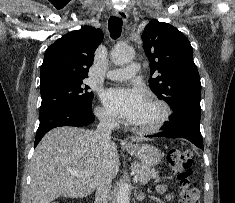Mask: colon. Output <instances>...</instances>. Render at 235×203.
Segmentation results:
<instances>
[{
  "instance_id": "obj_1",
  "label": "colon",
  "mask_w": 235,
  "mask_h": 203,
  "mask_svg": "<svg viewBox=\"0 0 235 203\" xmlns=\"http://www.w3.org/2000/svg\"><path fill=\"white\" fill-rule=\"evenodd\" d=\"M167 159L171 172L176 175L180 184V203H200V193L192 179V152L181 148L172 149Z\"/></svg>"
}]
</instances>
